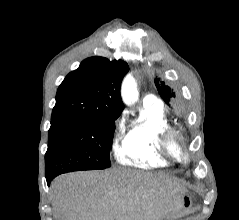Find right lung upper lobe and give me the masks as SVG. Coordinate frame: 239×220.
Wrapping results in <instances>:
<instances>
[{"label":"right lung upper lobe","instance_id":"obj_1","mask_svg":"<svg viewBox=\"0 0 239 220\" xmlns=\"http://www.w3.org/2000/svg\"><path fill=\"white\" fill-rule=\"evenodd\" d=\"M128 70L121 60L85 59L59 86L52 118L119 116L124 109L120 86Z\"/></svg>","mask_w":239,"mask_h":220}]
</instances>
